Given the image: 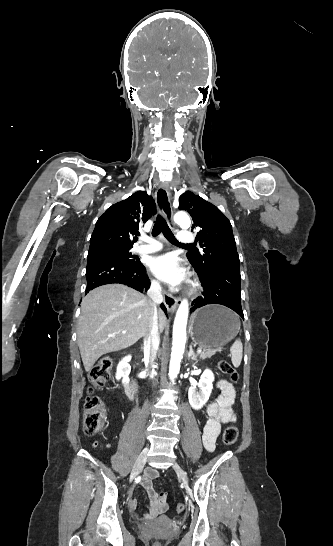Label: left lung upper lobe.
Returning <instances> with one entry per match:
<instances>
[{"label":"left lung upper lobe","instance_id":"left-lung-upper-lobe-1","mask_svg":"<svg viewBox=\"0 0 333 546\" xmlns=\"http://www.w3.org/2000/svg\"><path fill=\"white\" fill-rule=\"evenodd\" d=\"M179 209L191 215L203 252H188L187 256L199 276L231 267L239 268V256L230 221L213 204L186 191L179 198Z\"/></svg>","mask_w":333,"mask_h":546}]
</instances>
